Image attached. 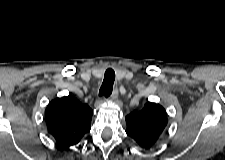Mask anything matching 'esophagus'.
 <instances>
[{
	"instance_id": "34e87169",
	"label": "esophagus",
	"mask_w": 225,
	"mask_h": 160,
	"mask_svg": "<svg viewBox=\"0 0 225 160\" xmlns=\"http://www.w3.org/2000/svg\"><path fill=\"white\" fill-rule=\"evenodd\" d=\"M118 97V90L114 89L111 96H110V100H116Z\"/></svg>"
}]
</instances>
